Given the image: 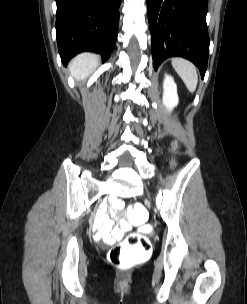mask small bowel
<instances>
[{
	"mask_svg": "<svg viewBox=\"0 0 247 304\" xmlns=\"http://www.w3.org/2000/svg\"><path fill=\"white\" fill-rule=\"evenodd\" d=\"M108 205L119 207L121 205V201L112 197L108 200V204L101 206L94 220L93 228L96 231V239L112 243L115 240L120 239L124 232L130 229V225H124L122 220L120 222V226L115 227L114 221L107 217Z\"/></svg>",
	"mask_w": 247,
	"mask_h": 304,
	"instance_id": "1",
	"label": "small bowel"
}]
</instances>
